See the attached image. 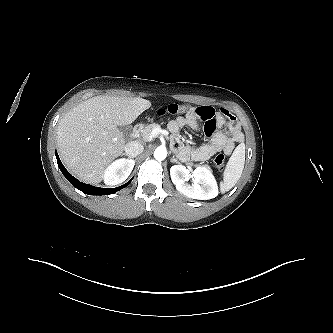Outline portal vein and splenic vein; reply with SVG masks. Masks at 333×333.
I'll return each mask as SVG.
<instances>
[{
    "instance_id": "18ae733b",
    "label": "portal vein and splenic vein",
    "mask_w": 333,
    "mask_h": 333,
    "mask_svg": "<svg viewBox=\"0 0 333 333\" xmlns=\"http://www.w3.org/2000/svg\"><path fill=\"white\" fill-rule=\"evenodd\" d=\"M163 134L164 133V130H162L161 128H155L152 130L151 134H150V138H154L156 137L157 135L159 134Z\"/></svg>"
}]
</instances>
